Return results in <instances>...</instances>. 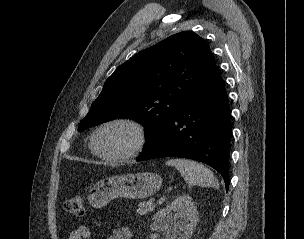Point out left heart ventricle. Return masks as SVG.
<instances>
[{
    "instance_id": "b2bd125f",
    "label": "left heart ventricle",
    "mask_w": 304,
    "mask_h": 239,
    "mask_svg": "<svg viewBox=\"0 0 304 239\" xmlns=\"http://www.w3.org/2000/svg\"><path fill=\"white\" fill-rule=\"evenodd\" d=\"M135 141L133 130L124 125L104 128L97 136V145L107 154H119L132 147Z\"/></svg>"
}]
</instances>
